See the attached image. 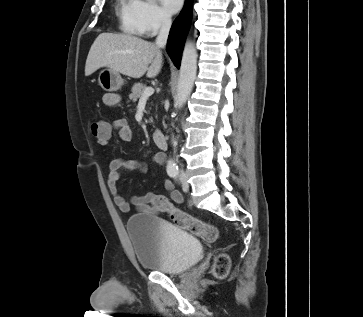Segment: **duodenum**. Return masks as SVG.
Masks as SVG:
<instances>
[{
  "label": "duodenum",
  "instance_id": "1",
  "mask_svg": "<svg viewBox=\"0 0 363 317\" xmlns=\"http://www.w3.org/2000/svg\"><path fill=\"white\" fill-rule=\"evenodd\" d=\"M154 144L161 148L165 149L167 147V141L162 131L156 130L152 134Z\"/></svg>",
  "mask_w": 363,
  "mask_h": 317
}]
</instances>
